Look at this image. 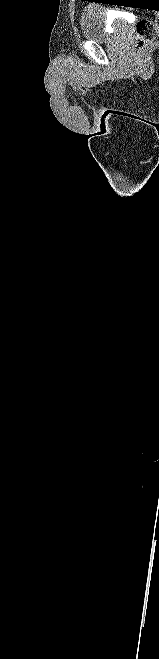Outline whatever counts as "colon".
Here are the masks:
<instances>
[{
	"label": "colon",
	"mask_w": 159,
	"mask_h": 659,
	"mask_svg": "<svg viewBox=\"0 0 159 659\" xmlns=\"http://www.w3.org/2000/svg\"><path fill=\"white\" fill-rule=\"evenodd\" d=\"M159 36V26L152 19H142L136 25V32L133 41V48L140 50L145 45Z\"/></svg>",
	"instance_id": "obj_1"
}]
</instances>
